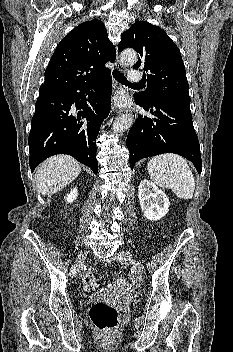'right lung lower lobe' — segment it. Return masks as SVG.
<instances>
[{
  "label": "right lung lower lobe",
  "mask_w": 233,
  "mask_h": 352,
  "mask_svg": "<svg viewBox=\"0 0 233 352\" xmlns=\"http://www.w3.org/2000/svg\"><path fill=\"white\" fill-rule=\"evenodd\" d=\"M110 70L67 93L39 97L29 134V165L34 170L55 154H68L97 174L96 138L111 108Z\"/></svg>",
  "instance_id": "right-lung-lower-lobe-1"
}]
</instances>
